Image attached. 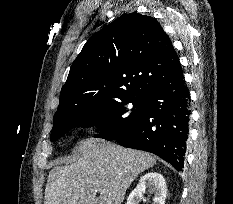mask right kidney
I'll return each mask as SVG.
<instances>
[{
    "instance_id": "ca27d5eb",
    "label": "right kidney",
    "mask_w": 233,
    "mask_h": 204,
    "mask_svg": "<svg viewBox=\"0 0 233 204\" xmlns=\"http://www.w3.org/2000/svg\"><path fill=\"white\" fill-rule=\"evenodd\" d=\"M146 191L154 193L152 204H165L166 182L164 177L157 172H149L141 177L136 188L130 193L126 204H139Z\"/></svg>"
}]
</instances>
